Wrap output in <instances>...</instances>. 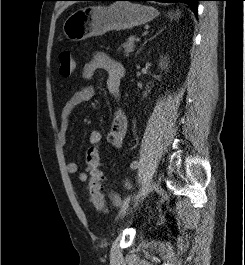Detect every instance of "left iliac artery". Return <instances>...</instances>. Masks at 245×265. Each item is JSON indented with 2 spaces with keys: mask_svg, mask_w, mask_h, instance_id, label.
Wrapping results in <instances>:
<instances>
[{
  "mask_svg": "<svg viewBox=\"0 0 245 265\" xmlns=\"http://www.w3.org/2000/svg\"><path fill=\"white\" fill-rule=\"evenodd\" d=\"M139 166V163L138 161H133L130 165V168L131 169H136L137 167ZM128 207V201L126 200L122 206V209H121V212H125V210L127 209Z\"/></svg>",
  "mask_w": 245,
  "mask_h": 265,
  "instance_id": "obj_1",
  "label": "left iliac artery"
}]
</instances>
